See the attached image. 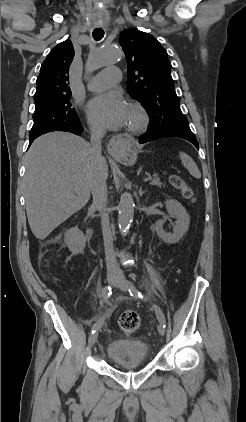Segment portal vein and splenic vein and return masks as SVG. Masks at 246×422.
Returning <instances> with one entry per match:
<instances>
[{
  "instance_id": "obj_1",
  "label": "portal vein and splenic vein",
  "mask_w": 246,
  "mask_h": 422,
  "mask_svg": "<svg viewBox=\"0 0 246 422\" xmlns=\"http://www.w3.org/2000/svg\"><path fill=\"white\" fill-rule=\"evenodd\" d=\"M152 180H153V177H151V176L143 179L144 182H148V181H152Z\"/></svg>"
}]
</instances>
